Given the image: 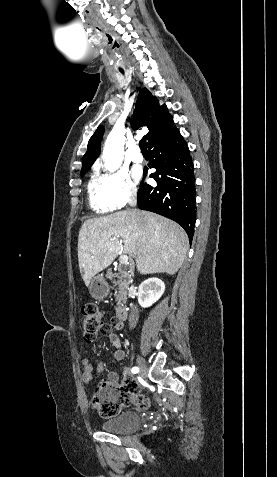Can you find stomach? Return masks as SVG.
<instances>
[{
  "mask_svg": "<svg viewBox=\"0 0 277 477\" xmlns=\"http://www.w3.org/2000/svg\"><path fill=\"white\" fill-rule=\"evenodd\" d=\"M110 291V287L102 275L94 276L89 285V293L95 299L105 298Z\"/></svg>",
  "mask_w": 277,
  "mask_h": 477,
  "instance_id": "1",
  "label": "stomach"
}]
</instances>
